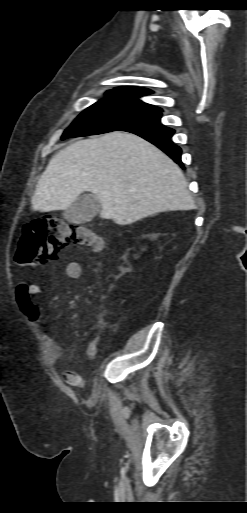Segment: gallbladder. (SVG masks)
I'll return each instance as SVG.
<instances>
[{
	"label": "gallbladder",
	"mask_w": 247,
	"mask_h": 513,
	"mask_svg": "<svg viewBox=\"0 0 247 513\" xmlns=\"http://www.w3.org/2000/svg\"><path fill=\"white\" fill-rule=\"evenodd\" d=\"M100 210L101 205L94 195L83 194L64 211L63 216L69 223L84 224L91 221Z\"/></svg>",
	"instance_id": "bac80fb5"
}]
</instances>
